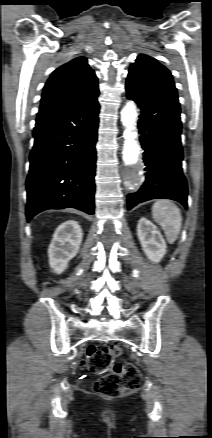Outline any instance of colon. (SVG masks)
<instances>
[{
  "label": "colon",
  "instance_id": "colon-1",
  "mask_svg": "<svg viewBox=\"0 0 212 438\" xmlns=\"http://www.w3.org/2000/svg\"><path fill=\"white\" fill-rule=\"evenodd\" d=\"M121 355L122 349L115 343L88 348L86 368L92 374L101 375L93 384L96 393L117 397L140 386L139 370L131 363L118 362Z\"/></svg>",
  "mask_w": 212,
  "mask_h": 438
}]
</instances>
